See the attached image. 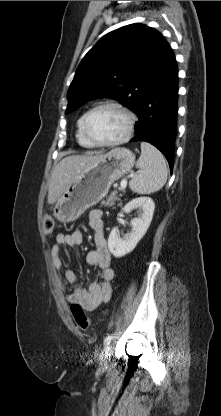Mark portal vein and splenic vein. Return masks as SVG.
Masks as SVG:
<instances>
[{
    "label": "portal vein and splenic vein",
    "mask_w": 221,
    "mask_h": 416,
    "mask_svg": "<svg viewBox=\"0 0 221 416\" xmlns=\"http://www.w3.org/2000/svg\"><path fill=\"white\" fill-rule=\"evenodd\" d=\"M126 186H127V181H126V179H123L121 181V188H120V190H124L126 188Z\"/></svg>",
    "instance_id": "1"
}]
</instances>
